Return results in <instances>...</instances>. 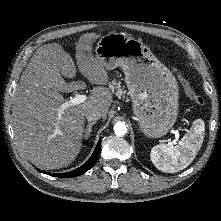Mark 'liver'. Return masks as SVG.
I'll return each mask as SVG.
<instances>
[{"mask_svg":"<svg viewBox=\"0 0 221 221\" xmlns=\"http://www.w3.org/2000/svg\"><path fill=\"white\" fill-rule=\"evenodd\" d=\"M95 33L80 36L76 64L80 73L99 85L83 103L63 111L64 98L56 88L65 78H74L76 65L59 43L39 47L23 71L13 96L12 127L19 151L35 166L50 170L69 165L82 146L85 114L98 110L106 119L113 101L105 88L109 80L103 62L92 54Z\"/></svg>","mask_w":221,"mask_h":221,"instance_id":"6515ba94","label":"liver"}]
</instances>
